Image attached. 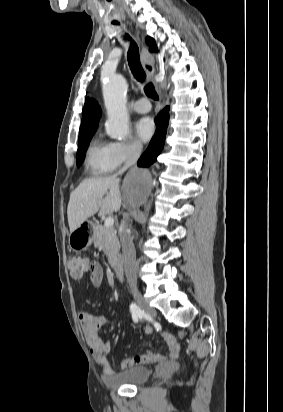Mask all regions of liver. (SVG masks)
Masks as SVG:
<instances>
[{
    "label": "liver",
    "instance_id": "obj_1",
    "mask_svg": "<svg viewBox=\"0 0 283 412\" xmlns=\"http://www.w3.org/2000/svg\"><path fill=\"white\" fill-rule=\"evenodd\" d=\"M121 204L119 179L115 176L85 179L70 194L67 207L70 232L96 213L105 216L119 211Z\"/></svg>",
    "mask_w": 283,
    "mask_h": 412
}]
</instances>
